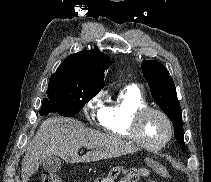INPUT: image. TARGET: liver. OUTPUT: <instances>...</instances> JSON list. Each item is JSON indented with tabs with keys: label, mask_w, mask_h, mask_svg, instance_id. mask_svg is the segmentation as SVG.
Returning a JSON list of instances; mask_svg holds the SVG:
<instances>
[{
	"label": "liver",
	"mask_w": 211,
	"mask_h": 182,
	"mask_svg": "<svg viewBox=\"0 0 211 182\" xmlns=\"http://www.w3.org/2000/svg\"><path fill=\"white\" fill-rule=\"evenodd\" d=\"M84 146V156L78 150ZM138 148L120 138L89 129L74 118L51 117L42 122L27 149L21 166L23 182L38 170L40 163L55 155L66 162L84 163L130 154Z\"/></svg>",
	"instance_id": "1"
}]
</instances>
